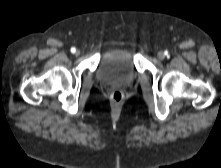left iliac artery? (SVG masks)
<instances>
[{
    "label": "left iliac artery",
    "instance_id": "obj_1",
    "mask_svg": "<svg viewBox=\"0 0 221 168\" xmlns=\"http://www.w3.org/2000/svg\"><path fill=\"white\" fill-rule=\"evenodd\" d=\"M165 55H167V56H168V52H165Z\"/></svg>",
    "mask_w": 221,
    "mask_h": 168
}]
</instances>
